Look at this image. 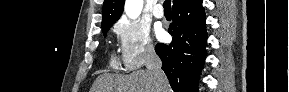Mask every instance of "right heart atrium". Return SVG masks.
I'll return each mask as SVG.
<instances>
[{
    "label": "right heart atrium",
    "mask_w": 289,
    "mask_h": 92,
    "mask_svg": "<svg viewBox=\"0 0 289 92\" xmlns=\"http://www.w3.org/2000/svg\"><path fill=\"white\" fill-rule=\"evenodd\" d=\"M120 58L127 70H135L155 57L149 29L138 21L122 18L114 25Z\"/></svg>",
    "instance_id": "obj_1"
}]
</instances>
